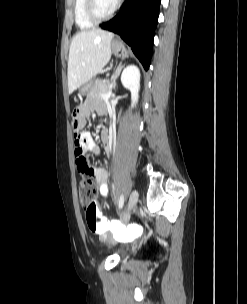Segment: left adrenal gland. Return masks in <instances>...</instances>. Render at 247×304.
Returning <instances> with one entry per match:
<instances>
[{
	"mask_svg": "<svg viewBox=\"0 0 247 304\" xmlns=\"http://www.w3.org/2000/svg\"><path fill=\"white\" fill-rule=\"evenodd\" d=\"M122 67H123L122 62H120L119 65L117 66L116 70L114 71L112 77H111V87L113 89H116V79L118 78Z\"/></svg>",
	"mask_w": 247,
	"mask_h": 304,
	"instance_id": "left-adrenal-gland-1",
	"label": "left adrenal gland"
}]
</instances>
